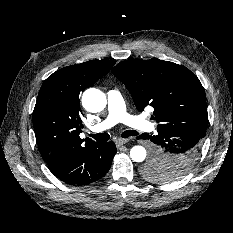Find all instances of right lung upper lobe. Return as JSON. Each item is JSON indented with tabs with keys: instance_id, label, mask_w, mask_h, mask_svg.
Listing matches in <instances>:
<instances>
[{
	"instance_id": "obj_1",
	"label": "right lung upper lobe",
	"mask_w": 233,
	"mask_h": 233,
	"mask_svg": "<svg viewBox=\"0 0 233 233\" xmlns=\"http://www.w3.org/2000/svg\"><path fill=\"white\" fill-rule=\"evenodd\" d=\"M115 64L91 60L62 68L50 75L39 91L33 111L35 136L42 157L51 171L97 144L79 137L83 127L79 94L103 77Z\"/></svg>"
}]
</instances>
